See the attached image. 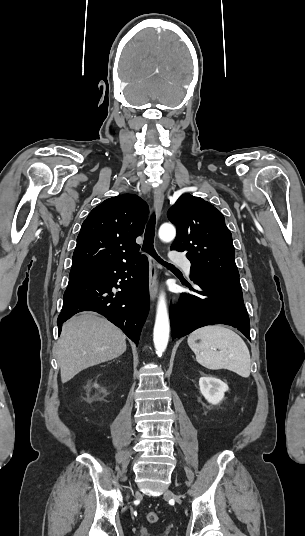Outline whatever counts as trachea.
I'll return each mask as SVG.
<instances>
[{
  "mask_svg": "<svg viewBox=\"0 0 305 536\" xmlns=\"http://www.w3.org/2000/svg\"><path fill=\"white\" fill-rule=\"evenodd\" d=\"M155 223H156V218H155V215L153 214L147 224L142 250L144 252L149 253V255H151L155 260H157L159 263H161L168 269L177 270L175 266L162 260V258L158 256V254L156 253L154 249Z\"/></svg>",
  "mask_w": 305,
  "mask_h": 536,
  "instance_id": "obj_1",
  "label": "trachea"
}]
</instances>
